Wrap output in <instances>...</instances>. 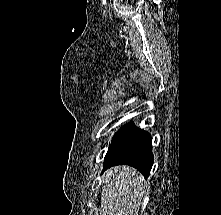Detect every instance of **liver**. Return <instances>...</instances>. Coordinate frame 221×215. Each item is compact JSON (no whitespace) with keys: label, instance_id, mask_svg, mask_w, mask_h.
Wrapping results in <instances>:
<instances>
[{"label":"liver","instance_id":"liver-1","mask_svg":"<svg viewBox=\"0 0 221 215\" xmlns=\"http://www.w3.org/2000/svg\"><path fill=\"white\" fill-rule=\"evenodd\" d=\"M144 178L134 168L115 166L103 174L101 215H138Z\"/></svg>","mask_w":221,"mask_h":215}]
</instances>
